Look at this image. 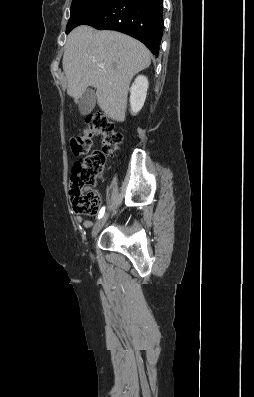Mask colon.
<instances>
[{
	"label": "colon",
	"mask_w": 254,
	"mask_h": 397,
	"mask_svg": "<svg viewBox=\"0 0 254 397\" xmlns=\"http://www.w3.org/2000/svg\"><path fill=\"white\" fill-rule=\"evenodd\" d=\"M96 135L102 137V149L89 153ZM121 141L122 135L114 122L101 113L88 117L83 131L71 138L72 152L80 157L70 177V196L78 214L94 215L98 211L101 200L94 187L104 172L107 159L118 150Z\"/></svg>",
	"instance_id": "5ec220e1"
}]
</instances>
